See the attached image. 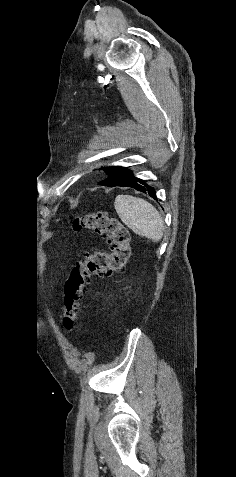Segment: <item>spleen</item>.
<instances>
[{
  "mask_svg": "<svg viewBox=\"0 0 236 477\" xmlns=\"http://www.w3.org/2000/svg\"><path fill=\"white\" fill-rule=\"evenodd\" d=\"M114 207L121 221L135 234L153 241H159L163 237L162 217L146 200L131 195H118Z\"/></svg>",
  "mask_w": 236,
  "mask_h": 477,
  "instance_id": "3e777b00",
  "label": "spleen"
}]
</instances>
